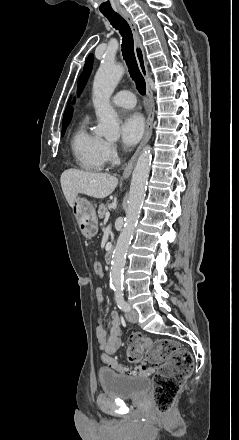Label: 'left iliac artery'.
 <instances>
[{"instance_id":"left-iliac-artery-1","label":"left iliac artery","mask_w":239,"mask_h":440,"mask_svg":"<svg viewBox=\"0 0 239 440\" xmlns=\"http://www.w3.org/2000/svg\"><path fill=\"white\" fill-rule=\"evenodd\" d=\"M115 291V301L117 303V306L122 310V311H129L130 310V306L129 304L125 301L124 299V294H123V287H115L113 288Z\"/></svg>"}]
</instances>
